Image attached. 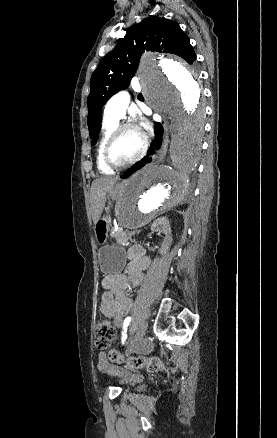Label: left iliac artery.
I'll use <instances>...</instances> for the list:
<instances>
[{"mask_svg": "<svg viewBox=\"0 0 277 438\" xmlns=\"http://www.w3.org/2000/svg\"><path fill=\"white\" fill-rule=\"evenodd\" d=\"M130 321H131V317H127L124 320V324H123V328H122V335H121V342H122V344L125 343V340L127 338V327L129 325Z\"/></svg>", "mask_w": 277, "mask_h": 438, "instance_id": "1", "label": "left iliac artery"}]
</instances>
